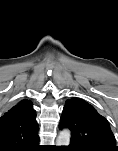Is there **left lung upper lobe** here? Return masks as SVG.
<instances>
[{
	"mask_svg": "<svg viewBox=\"0 0 118 151\" xmlns=\"http://www.w3.org/2000/svg\"><path fill=\"white\" fill-rule=\"evenodd\" d=\"M71 130L70 144L78 151H118L110 125L92 105L79 98L64 105L59 128Z\"/></svg>",
	"mask_w": 118,
	"mask_h": 151,
	"instance_id": "1",
	"label": "left lung upper lobe"
}]
</instances>
